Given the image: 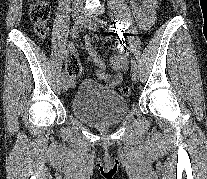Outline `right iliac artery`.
<instances>
[{"mask_svg": "<svg viewBox=\"0 0 207 179\" xmlns=\"http://www.w3.org/2000/svg\"><path fill=\"white\" fill-rule=\"evenodd\" d=\"M81 26H82L81 22L79 24H75L73 26V28L71 30V37L72 38H75L78 35L79 31L81 30ZM65 78H66V75H65V73H63L62 79H65Z\"/></svg>", "mask_w": 207, "mask_h": 179, "instance_id": "82829eb1", "label": "right iliac artery"}]
</instances>
